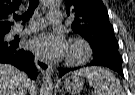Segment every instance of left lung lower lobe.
<instances>
[{
    "label": "left lung lower lobe",
    "mask_w": 135,
    "mask_h": 95,
    "mask_svg": "<svg viewBox=\"0 0 135 95\" xmlns=\"http://www.w3.org/2000/svg\"><path fill=\"white\" fill-rule=\"evenodd\" d=\"M93 60L88 64L90 66H104L109 67L114 71H117L122 77V57L114 50H109L107 54L96 55L93 54ZM77 68H59V75L63 76L69 71L76 70Z\"/></svg>",
    "instance_id": "1"
}]
</instances>
